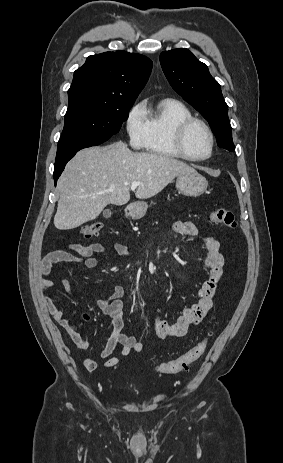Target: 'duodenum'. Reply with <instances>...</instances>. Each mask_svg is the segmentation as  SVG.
I'll list each match as a JSON object with an SVG mask.
<instances>
[{
	"instance_id": "1",
	"label": "duodenum",
	"mask_w": 283,
	"mask_h": 463,
	"mask_svg": "<svg viewBox=\"0 0 283 463\" xmlns=\"http://www.w3.org/2000/svg\"><path fill=\"white\" fill-rule=\"evenodd\" d=\"M137 205L135 203H131L127 207V212L130 215H133L136 212Z\"/></svg>"
}]
</instances>
